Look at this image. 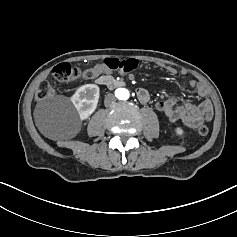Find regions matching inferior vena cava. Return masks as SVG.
I'll use <instances>...</instances> for the list:
<instances>
[{"mask_svg": "<svg viewBox=\"0 0 237 237\" xmlns=\"http://www.w3.org/2000/svg\"><path fill=\"white\" fill-rule=\"evenodd\" d=\"M116 101V97L113 95V94H108L106 97H105V105H110L111 103L115 102Z\"/></svg>", "mask_w": 237, "mask_h": 237, "instance_id": "inferior-vena-cava-1", "label": "inferior vena cava"}]
</instances>
